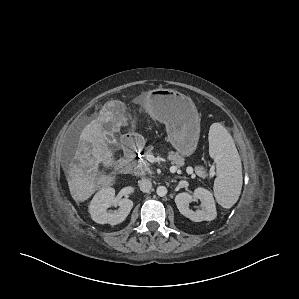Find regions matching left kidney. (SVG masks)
I'll use <instances>...</instances> for the list:
<instances>
[{
	"instance_id": "5707ae66",
	"label": "left kidney",
	"mask_w": 299,
	"mask_h": 299,
	"mask_svg": "<svg viewBox=\"0 0 299 299\" xmlns=\"http://www.w3.org/2000/svg\"><path fill=\"white\" fill-rule=\"evenodd\" d=\"M196 199L202 202V209L193 211L189 208V204ZM175 203L179 212L194 222L212 221L217 216L213 195L205 188L195 189L193 195L186 192L179 193L175 197Z\"/></svg>"
}]
</instances>
